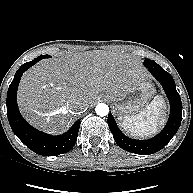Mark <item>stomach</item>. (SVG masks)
Segmentation results:
<instances>
[{
	"mask_svg": "<svg viewBox=\"0 0 193 193\" xmlns=\"http://www.w3.org/2000/svg\"><path fill=\"white\" fill-rule=\"evenodd\" d=\"M155 90L152 84L143 76L129 78L119 89L104 94L106 99L113 102L119 114H131L143 107L152 97Z\"/></svg>",
	"mask_w": 193,
	"mask_h": 193,
	"instance_id": "1",
	"label": "stomach"
}]
</instances>
